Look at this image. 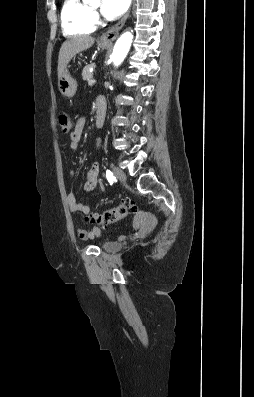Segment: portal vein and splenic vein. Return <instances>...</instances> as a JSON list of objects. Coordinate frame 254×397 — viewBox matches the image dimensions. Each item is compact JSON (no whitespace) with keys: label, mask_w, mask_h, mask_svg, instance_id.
<instances>
[{"label":"portal vein and splenic vein","mask_w":254,"mask_h":397,"mask_svg":"<svg viewBox=\"0 0 254 397\" xmlns=\"http://www.w3.org/2000/svg\"><path fill=\"white\" fill-rule=\"evenodd\" d=\"M95 82H96L95 79H90V80L88 81V85H93Z\"/></svg>","instance_id":"18ae733b"}]
</instances>
